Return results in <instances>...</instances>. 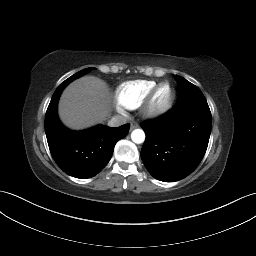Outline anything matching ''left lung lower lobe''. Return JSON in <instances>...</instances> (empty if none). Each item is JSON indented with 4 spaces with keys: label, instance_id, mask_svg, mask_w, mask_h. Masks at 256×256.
Returning <instances> with one entry per match:
<instances>
[{
    "label": "left lung lower lobe",
    "instance_id": "0a47b994",
    "mask_svg": "<svg viewBox=\"0 0 256 256\" xmlns=\"http://www.w3.org/2000/svg\"><path fill=\"white\" fill-rule=\"evenodd\" d=\"M141 127L146 133L141 150L145 167L154 178L174 182L191 174L203 159L211 133V112L207 102H189Z\"/></svg>",
    "mask_w": 256,
    "mask_h": 256
}]
</instances>
